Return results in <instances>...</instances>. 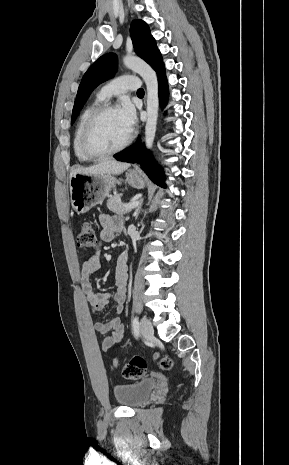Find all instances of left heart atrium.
Returning <instances> with one entry per match:
<instances>
[{
  "label": "left heart atrium",
  "instance_id": "left-heart-atrium-1",
  "mask_svg": "<svg viewBox=\"0 0 289 465\" xmlns=\"http://www.w3.org/2000/svg\"><path fill=\"white\" fill-rule=\"evenodd\" d=\"M125 131L130 135L136 124V111L129 101H124L117 109Z\"/></svg>",
  "mask_w": 289,
  "mask_h": 465
}]
</instances>
